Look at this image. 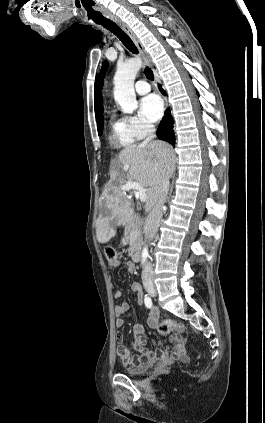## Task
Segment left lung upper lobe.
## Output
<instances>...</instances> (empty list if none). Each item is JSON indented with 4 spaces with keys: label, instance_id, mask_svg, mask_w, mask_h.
I'll use <instances>...</instances> for the list:
<instances>
[{
    "label": "left lung upper lobe",
    "instance_id": "left-lung-upper-lobe-1",
    "mask_svg": "<svg viewBox=\"0 0 265 423\" xmlns=\"http://www.w3.org/2000/svg\"><path fill=\"white\" fill-rule=\"evenodd\" d=\"M106 69H107V62L105 61V62L103 63L102 70H101V79H102V80H103V78H104V73H105ZM102 83H103V82H101V84H102Z\"/></svg>",
    "mask_w": 265,
    "mask_h": 423
}]
</instances>
